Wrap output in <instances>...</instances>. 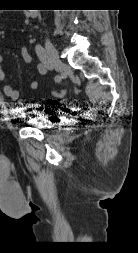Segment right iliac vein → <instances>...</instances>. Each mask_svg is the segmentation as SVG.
<instances>
[{
	"mask_svg": "<svg viewBox=\"0 0 138 253\" xmlns=\"http://www.w3.org/2000/svg\"><path fill=\"white\" fill-rule=\"evenodd\" d=\"M45 48H46V51L50 57V60L53 64L55 70L57 72H61L62 67H63V63L59 58V54H58L56 47L54 46V44L50 40H46L45 41Z\"/></svg>",
	"mask_w": 138,
	"mask_h": 253,
	"instance_id": "63e3f726",
	"label": "right iliac vein"
}]
</instances>
